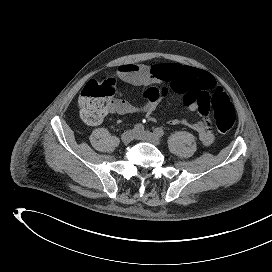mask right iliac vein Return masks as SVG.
Segmentation results:
<instances>
[{
  "label": "right iliac vein",
  "instance_id": "obj_1",
  "mask_svg": "<svg viewBox=\"0 0 272 272\" xmlns=\"http://www.w3.org/2000/svg\"><path fill=\"white\" fill-rule=\"evenodd\" d=\"M136 137V132L134 130H127L125 131L122 136L121 140L123 143L128 144Z\"/></svg>",
  "mask_w": 272,
  "mask_h": 272
}]
</instances>
